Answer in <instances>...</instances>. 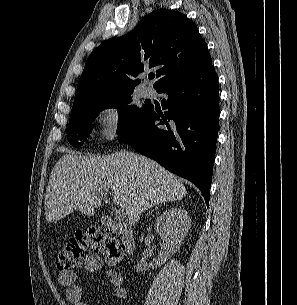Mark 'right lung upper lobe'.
Listing matches in <instances>:
<instances>
[{"label": "right lung upper lobe", "mask_w": 297, "mask_h": 305, "mask_svg": "<svg viewBox=\"0 0 297 305\" xmlns=\"http://www.w3.org/2000/svg\"><path fill=\"white\" fill-rule=\"evenodd\" d=\"M204 39L184 14L159 9L133 31L102 43L88 57L74 103L134 90L144 68H156L154 88L193 78L212 67Z\"/></svg>", "instance_id": "1"}]
</instances>
